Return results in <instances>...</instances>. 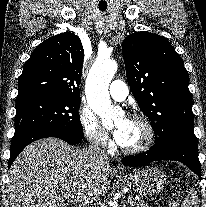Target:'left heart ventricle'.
I'll list each match as a JSON object with an SVG mask.
<instances>
[{
  "instance_id": "b2bd125f",
  "label": "left heart ventricle",
  "mask_w": 206,
  "mask_h": 207,
  "mask_svg": "<svg viewBox=\"0 0 206 207\" xmlns=\"http://www.w3.org/2000/svg\"><path fill=\"white\" fill-rule=\"evenodd\" d=\"M116 127L125 129V141L122 145L125 148H133L140 145L146 137L145 128L139 122L122 118L117 121Z\"/></svg>"
}]
</instances>
